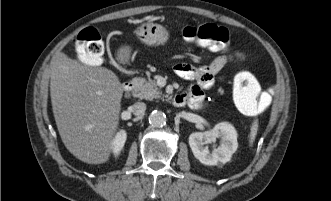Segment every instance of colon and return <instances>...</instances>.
Here are the masks:
<instances>
[{
  "label": "colon",
  "instance_id": "obj_1",
  "mask_svg": "<svg viewBox=\"0 0 331 201\" xmlns=\"http://www.w3.org/2000/svg\"><path fill=\"white\" fill-rule=\"evenodd\" d=\"M183 37L212 51H224L230 42L229 31L216 24L206 23L188 26ZM76 51L81 62L95 66L102 62L104 43L94 28H86L77 36ZM233 98L238 109L246 115L255 116L264 112L270 105L274 92L264 91L258 80L249 72L240 71L233 82Z\"/></svg>",
  "mask_w": 331,
  "mask_h": 201
}]
</instances>
